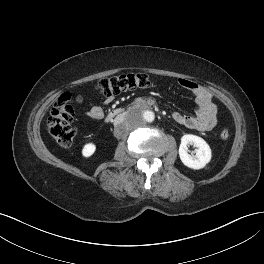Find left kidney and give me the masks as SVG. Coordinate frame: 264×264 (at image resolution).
<instances>
[{
  "mask_svg": "<svg viewBox=\"0 0 264 264\" xmlns=\"http://www.w3.org/2000/svg\"><path fill=\"white\" fill-rule=\"evenodd\" d=\"M189 144H193L197 149L195 155L188 153ZM179 156L182 163L191 169H202L211 160V149L207 142L199 136L186 134L181 138V144L179 146Z\"/></svg>",
  "mask_w": 264,
  "mask_h": 264,
  "instance_id": "obj_1",
  "label": "left kidney"
}]
</instances>
